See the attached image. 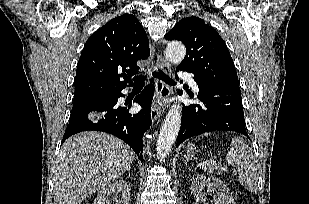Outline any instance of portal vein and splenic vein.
I'll return each mask as SVG.
<instances>
[{
    "label": "portal vein and splenic vein",
    "instance_id": "obj_1",
    "mask_svg": "<svg viewBox=\"0 0 309 204\" xmlns=\"http://www.w3.org/2000/svg\"><path fill=\"white\" fill-rule=\"evenodd\" d=\"M212 163V164H214L216 167H219V165L216 163V162H214V161H210V160H207V161H205V162H202L200 165H202V166H204V165H206V164H209V163Z\"/></svg>",
    "mask_w": 309,
    "mask_h": 204
}]
</instances>
